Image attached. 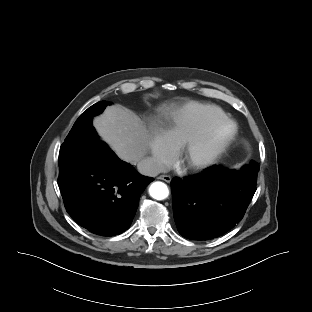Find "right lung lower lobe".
Returning <instances> with one entry per match:
<instances>
[{
	"label": "right lung lower lobe",
	"mask_w": 312,
	"mask_h": 312,
	"mask_svg": "<svg viewBox=\"0 0 312 312\" xmlns=\"http://www.w3.org/2000/svg\"><path fill=\"white\" fill-rule=\"evenodd\" d=\"M153 180L102 143L90 148L67 173L59 174L58 185L75 222L94 234L114 236L129 228L140 195Z\"/></svg>",
	"instance_id": "obj_1"
}]
</instances>
